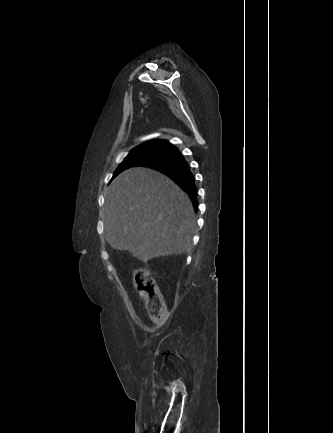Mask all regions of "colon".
Returning <instances> with one entry per match:
<instances>
[{"mask_svg": "<svg viewBox=\"0 0 333 433\" xmlns=\"http://www.w3.org/2000/svg\"><path fill=\"white\" fill-rule=\"evenodd\" d=\"M133 282L137 291L146 300L149 318L158 325L165 324L167 320L166 303L152 275L143 269H136L133 274Z\"/></svg>", "mask_w": 333, "mask_h": 433, "instance_id": "1", "label": "colon"}]
</instances>
